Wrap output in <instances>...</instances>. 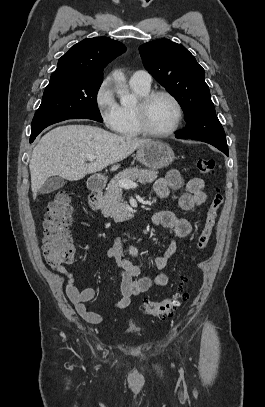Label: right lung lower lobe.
Segmentation results:
<instances>
[{
  "instance_id": "98d812e1",
  "label": "right lung lower lobe",
  "mask_w": 265,
  "mask_h": 407,
  "mask_svg": "<svg viewBox=\"0 0 265 407\" xmlns=\"http://www.w3.org/2000/svg\"><path fill=\"white\" fill-rule=\"evenodd\" d=\"M35 137H36V136H35ZM35 137L31 136V138H30V142H33V141H34V139H35Z\"/></svg>"
}]
</instances>
